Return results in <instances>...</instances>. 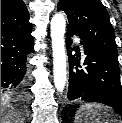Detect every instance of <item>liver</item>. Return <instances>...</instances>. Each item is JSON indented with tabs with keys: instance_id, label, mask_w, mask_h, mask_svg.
<instances>
[{
	"instance_id": "1",
	"label": "liver",
	"mask_w": 122,
	"mask_h": 123,
	"mask_svg": "<svg viewBox=\"0 0 122 123\" xmlns=\"http://www.w3.org/2000/svg\"><path fill=\"white\" fill-rule=\"evenodd\" d=\"M18 119V115L14 112L1 109V123H13L18 121Z\"/></svg>"
}]
</instances>
